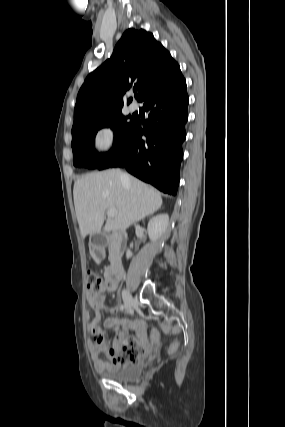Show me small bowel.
<instances>
[{"label": "small bowel", "instance_id": "1", "mask_svg": "<svg viewBox=\"0 0 285 427\" xmlns=\"http://www.w3.org/2000/svg\"><path fill=\"white\" fill-rule=\"evenodd\" d=\"M117 285L118 280L109 281L105 276V287L107 291H115ZM105 300L106 296L104 293L87 294V301L92 309V313L88 316L89 331L91 332V334L99 339L107 336L110 331L116 333V340L113 348H110L106 351V354L109 358L108 362H103L99 357V354L102 350L101 344L97 343L96 341L90 342V352L92 360L98 370H103L105 368L121 367L123 365L129 364L120 363L119 355L122 345L125 344L129 338H131L129 337V332L132 330L137 333L139 339L138 341L145 348V352L148 349V344L144 334V324L142 321L126 317L117 319L113 316H109L106 319L102 320V311H105L109 314H115L118 310L117 307H106Z\"/></svg>", "mask_w": 285, "mask_h": 427}]
</instances>
